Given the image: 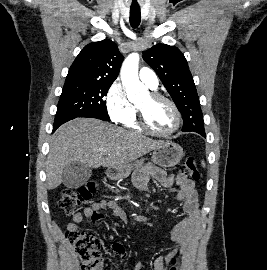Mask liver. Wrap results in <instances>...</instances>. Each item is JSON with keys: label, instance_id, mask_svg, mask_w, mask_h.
Here are the masks:
<instances>
[{"label": "liver", "instance_id": "6515ba94", "mask_svg": "<svg viewBox=\"0 0 267 270\" xmlns=\"http://www.w3.org/2000/svg\"><path fill=\"white\" fill-rule=\"evenodd\" d=\"M163 143L98 119L76 118L58 128L51 138L46 186L57 188L70 163L80 162L89 168L122 167Z\"/></svg>", "mask_w": 267, "mask_h": 270}]
</instances>
